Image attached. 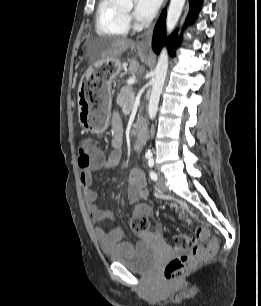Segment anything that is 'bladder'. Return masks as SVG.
Returning <instances> with one entry per match:
<instances>
[{"label": "bladder", "mask_w": 261, "mask_h": 306, "mask_svg": "<svg viewBox=\"0 0 261 306\" xmlns=\"http://www.w3.org/2000/svg\"><path fill=\"white\" fill-rule=\"evenodd\" d=\"M156 241L159 239L150 235ZM105 257L110 262L123 264L127 269L135 272H148L152 269L158 259L157 251L153 245L146 241H141L131 247L127 254H110L106 253Z\"/></svg>", "instance_id": "1"}]
</instances>
